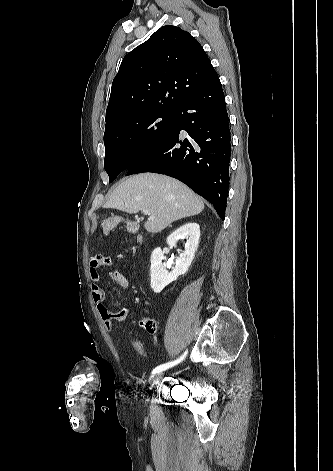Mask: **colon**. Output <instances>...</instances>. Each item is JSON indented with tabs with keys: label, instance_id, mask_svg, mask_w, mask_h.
Wrapping results in <instances>:
<instances>
[{
	"label": "colon",
	"instance_id": "colon-1",
	"mask_svg": "<svg viewBox=\"0 0 333 471\" xmlns=\"http://www.w3.org/2000/svg\"><path fill=\"white\" fill-rule=\"evenodd\" d=\"M120 224H125L127 227V230L131 233H136L138 230V226L136 222L125 219L121 216L115 215V216H110L102 221L101 234L102 235L108 234L110 231L115 229ZM142 324L144 328L148 330L149 332L156 331V323L153 320H150V319L144 320ZM129 344L140 354L142 355L146 354L145 347L140 341L130 340Z\"/></svg>",
	"mask_w": 333,
	"mask_h": 471
}]
</instances>
